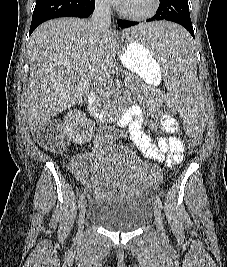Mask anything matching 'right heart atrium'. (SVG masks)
Segmentation results:
<instances>
[{"label":"right heart atrium","mask_w":227,"mask_h":267,"mask_svg":"<svg viewBox=\"0 0 227 267\" xmlns=\"http://www.w3.org/2000/svg\"><path fill=\"white\" fill-rule=\"evenodd\" d=\"M111 0H95V4L98 8L107 10L110 8Z\"/></svg>","instance_id":"obj_1"}]
</instances>
